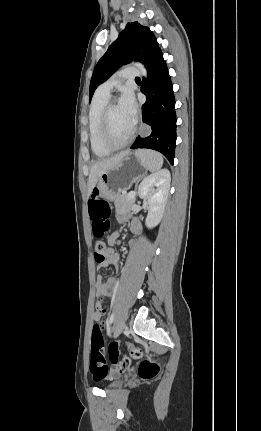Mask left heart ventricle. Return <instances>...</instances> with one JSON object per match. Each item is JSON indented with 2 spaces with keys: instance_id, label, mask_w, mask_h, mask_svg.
I'll return each mask as SVG.
<instances>
[{
  "instance_id": "left-heart-ventricle-1",
  "label": "left heart ventricle",
  "mask_w": 261,
  "mask_h": 431,
  "mask_svg": "<svg viewBox=\"0 0 261 431\" xmlns=\"http://www.w3.org/2000/svg\"><path fill=\"white\" fill-rule=\"evenodd\" d=\"M109 123L112 138L117 142L123 141L133 127V123L119 107V104H115L111 109Z\"/></svg>"
}]
</instances>
